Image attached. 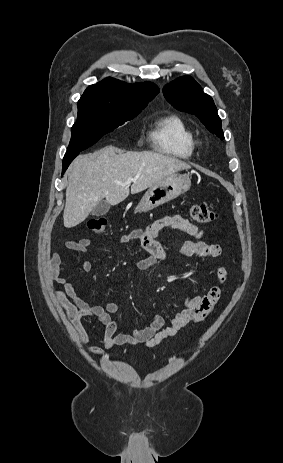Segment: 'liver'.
I'll return each mask as SVG.
<instances>
[{"label": "liver", "mask_w": 283, "mask_h": 463, "mask_svg": "<svg viewBox=\"0 0 283 463\" xmlns=\"http://www.w3.org/2000/svg\"><path fill=\"white\" fill-rule=\"evenodd\" d=\"M190 166L174 157L151 151L121 154L113 146L79 155L70 165L67 177L63 222L72 228L83 222L103 200L111 205L124 201L130 193L128 178L135 194Z\"/></svg>", "instance_id": "1"}]
</instances>
